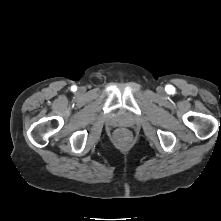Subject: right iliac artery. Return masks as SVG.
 Wrapping results in <instances>:
<instances>
[{
	"label": "right iliac artery",
	"instance_id": "1",
	"mask_svg": "<svg viewBox=\"0 0 221 221\" xmlns=\"http://www.w3.org/2000/svg\"><path fill=\"white\" fill-rule=\"evenodd\" d=\"M76 89H77L76 86H73V87H72V90H73V91H76Z\"/></svg>",
	"mask_w": 221,
	"mask_h": 221
}]
</instances>
